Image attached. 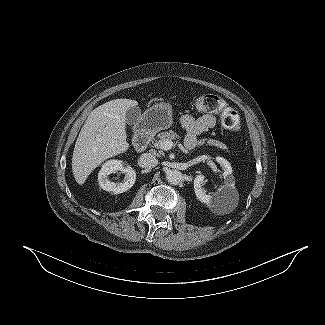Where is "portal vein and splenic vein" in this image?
<instances>
[{
  "label": "portal vein and splenic vein",
  "instance_id": "18ae733b",
  "mask_svg": "<svg viewBox=\"0 0 325 325\" xmlns=\"http://www.w3.org/2000/svg\"><path fill=\"white\" fill-rule=\"evenodd\" d=\"M173 146L174 143L171 140H165L160 143V148L165 151L170 150Z\"/></svg>",
  "mask_w": 325,
  "mask_h": 325
}]
</instances>
